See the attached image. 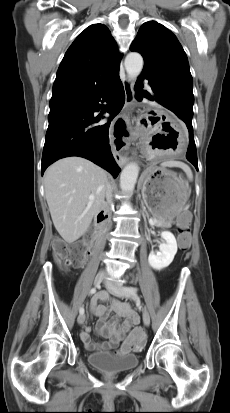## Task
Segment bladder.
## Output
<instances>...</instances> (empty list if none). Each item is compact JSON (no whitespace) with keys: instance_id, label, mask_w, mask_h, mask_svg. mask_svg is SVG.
Returning <instances> with one entry per match:
<instances>
[{"instance_id":"obj_1","label":"bladder","mask_w":230,"mask_h":413,"mask_svg":"<svg viewBox=\"0 0 230 413\" xmlns=\"http://www.w3.org/2000/svg\"><path fill=\"white\" fill-rule=\"evenodd\" d=\"M88 362L95 368L107 373L115 374L131 370L138 366L139 358L136 354H115L96 351L88 354Z\"/></svg>"}]
</instances>
